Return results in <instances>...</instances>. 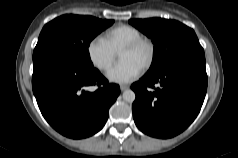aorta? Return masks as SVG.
Listing matches in <instances>:
<instances>
[{
    "label": "aorta",
    "mask_w": 238,
    "mask_h": 158,
    "mask_svg": "<svg viewBox=\"0 0 238 158\" xmlns=\"http://www.w3.org/2000/svg\"><path fill=\"white\" fill-rule=\"evenodd\" d=\"M135 98H136V95L132 90H125L123 92L124 101L132 103L135 100Z\"/></svg>",
    "instance_id": "obj_1"
}]
</instances>
